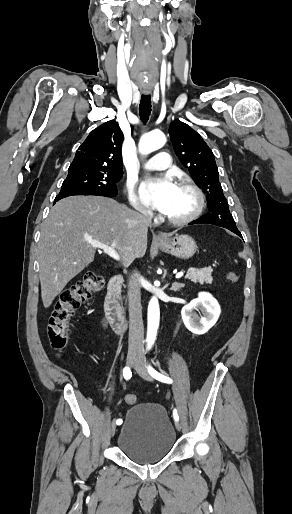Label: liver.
Returning a JSON list of instances; mask_svg holds the SVG:
<instances>
[{
	"mask_svg": "<svg viewBox=\"0 0 292 514\" xmlns=\"http://www.w3.org/2000/svg\"><path fill=\"white\" fill-rule=\"evenodd\" d=\"M147 228L141 214L111 198L70 196L57 202L41 224L38 246L44 308H49L66 284L93 262L97 250L93 244L115 248L124 268L135 258H143Z\"/></svg>",
	"mask_w": 292,
	"mask_h": 514,
	"instance_id": "obj_1",
	"label": "liver"
}]
</instances>
